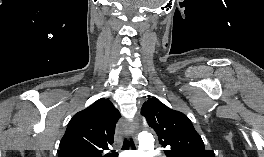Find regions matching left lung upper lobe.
<instances>
[{"label": "left lung upper lobe", "mask_w": 264, "mask_h": 157, "mask_svg": "<svg viewBox=\"0 0 264 157\" xmlns=\"http://www.w3.org/2000/svg\"><path fill=\"white\" fill-rule=\"evenodd\" d=\"M141 114L158 135L159 143L167 157H215L213 150H206L201 136L187 116L149 99L142 106Z\"/></svg>", "instance_id": "5c2ea615"}]
</instances>
